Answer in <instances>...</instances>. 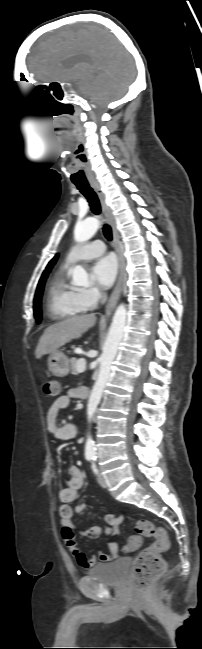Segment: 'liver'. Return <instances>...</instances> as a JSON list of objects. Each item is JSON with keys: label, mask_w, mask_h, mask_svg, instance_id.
Returning <instances> with one entry per match:
<instances>
[{"label": "liver", "mask_w": 202, "mask_h": 649, "mask_svg": "<svg viewBox=\"0 0 202 649\" xmlns=\"http://www.w3.org/2000/svg\"><path fill=\"white\" fill-rule=\"evenodd\" d=\"M96 322L94 314L74 316L45 329L35 350V357L40 359L46 354L55 352L58 348L73 339L79 338Z\"/></svg>", "instance_id": "obj_1"}]
</instances>
